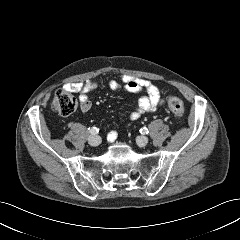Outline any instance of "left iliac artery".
Wrapping results in <instances>:
<instances>
[{
  "mask_svg": "<svg viewBox=\"0 0 240 240\" xmlns=\"http://www.w3.org/2000/svg\"><path fill=\"white\" fill-rule=\"evenodd\" d=\"M140 133H142V134H148L149 131H148V129H147L146 127H143V128L140 129Z\"/></svg>",
  "mask_w": 240,
  "mask_h": 240,
  "instance_id": "left-iliac-artery-1",
  "label": "left iliac artery"
}]
</instances>
